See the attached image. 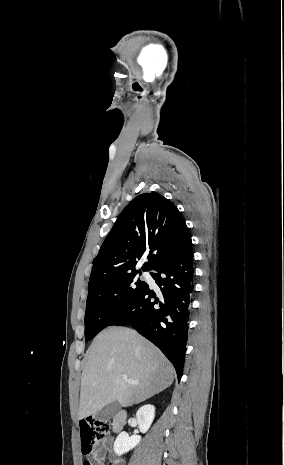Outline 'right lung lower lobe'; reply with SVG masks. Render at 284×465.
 <instances>
[{
  "label": "right lung lower lobe",
  "instance_id": "right-lung-lower-lobe-1",
  "mask_svg": "<svg viewBox=\"0 0 284 465\" xmlns=\"http://www.w3.org/2000/svg\"><path fill=\"white\" fill-rule=\"evenodd\" d=\"M153 270L158 272L151 276L161 292L156 294L147 284L110 325L130 324L164 353L180 380L194 296L191 238Z\"/></svg>",
  "mask_w": 284,
  "mask_h": 465
}]
</instances>
